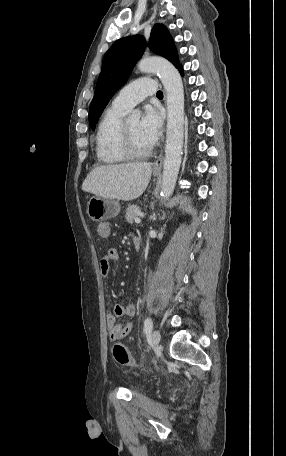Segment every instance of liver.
<instances>
[{
	"mask_svg": "<svg viewBox=\"0 0 286 456\" xmlns=\"http://www.w3.org/2000/svg\"><path fill=\"white\" fill-rule=\"evenodd\" d=\"M151 166L147 162H134L95 167L84 180L82 190L104 198L134 200L146 190Z\"/></svg>",
	"mask_w": 286,
	"mask_h": 456,
	"instance_id": "obj_1",
	"label": "liver"
}]
</instances>
